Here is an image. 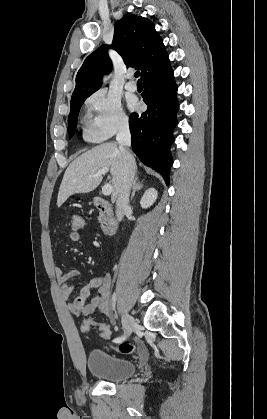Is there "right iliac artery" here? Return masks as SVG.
Returning <instances> with one entry per match:
<instances>
[{"mask_svg":"<svg viewBox=\"0 0 267 419\" xmlns=\"http://www.w3.org/2000/svg\"><path fill=\"white\" fill-rule=\"evenodd\" d=\"M125 338H126L125 335H123L121 337H118V338L114 339L113 341L117 343V342H121V341L125 340Z\"/></svg>","mask_w":267,"mask_h":419,"instance_id":"right-iliac-artery-1","label":"right iliac artery"}]
</instances>
